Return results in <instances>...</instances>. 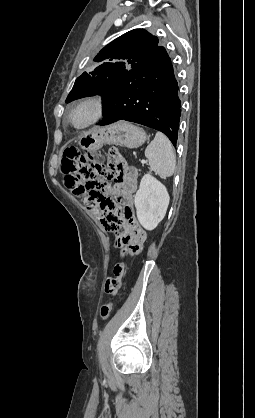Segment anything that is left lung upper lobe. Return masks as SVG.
<instances>
[{
  "mask_svg": "<svg viewBox=\"0 0 255 418\" xmlns=\"http://www.w3.org/2000/svg\"><path fill=\"white\" fill-rule=\"evenodd\" d=\"M161 47L158 38L144 29H134L116 38L94 58L98 66L76 79L66 103L96 94L103 97L120 83L128 71Z\"/></svg>",
  "mask_w": 255,
  "mask_h": 418,
  "instance_id": "left-lung-upper-lobe-1",
  "label": "left lung upper lobe"
}]
</instances>
